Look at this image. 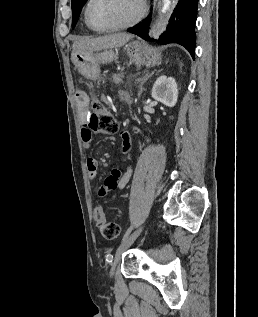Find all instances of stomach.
Listing matches in <instances>:
<instances>
[{"label":"stomach","instance_id":"stomach-1","mask_svg":"<svg viewBox=\"0 0 258 317\" xmlns=\"http://www.w3.org/2000/svg\"><path fill=\"white\" fill-rule=\"evenodd\" d=\"M131 62H135L137 66L141 64H147V66H154V64H160L161 52L153 50L149 46L142 44L140 40H132L124 46ZM76 68L83 76H95L100 72V64H106L117 58V52L114 48L110 50H73L71 56Z\"/></svg>","mask_w":258,"mask_h":317}]
</instances>
